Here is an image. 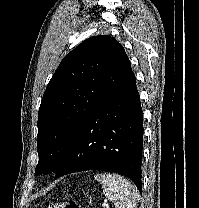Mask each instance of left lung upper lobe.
<instances>
[{"mask_svg": "<svg viewBox=\"0 0 199 208\" xmlns=\"http://www.w3.org/2000/svg\"><path fill=\"white\" fill-rule=\"evenodd\" d=\"M130 70L110 35L86 39L61 61L39 108L37 174L55 173L87 118Z\"/></svg>", "mask_w": 199, "mask_h": 208, "instance_id": "left-lung-upper-lobe-1", "label": "left lung upper lobe"}]
</instances>
